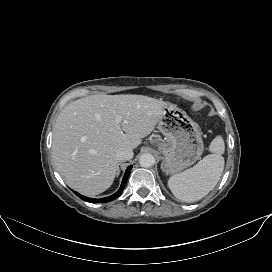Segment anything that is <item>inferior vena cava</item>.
I'll list each match as a JSON object with an SVG mask.
<instances>
[{
	"instance_id": "inferior-vena-cava-1",
	"label": "inferior vena cava",
	"mask_w": 272,
	"mask_h": 272,
	"mask_svg": "<svg viewBox=\"0 0 272 272\" xmlns=\"http://www.w3.org/2000/svg\"><path fill=\"white\" fill-rule=\"evenodd\" d=\"M115 156L120 161L130 160L133 157V151L128 147H120L116 150Z\"/></svg>"
}]
</instances>
